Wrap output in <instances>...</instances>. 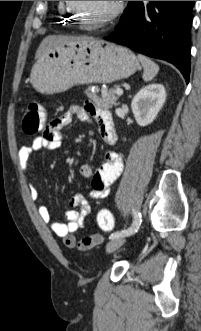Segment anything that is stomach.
<instances>
[{
  "instance_id": "stomach-1",
  "label": "stomach",
  "mask_w": 201,
  "mask_h": 331,
  "mask_svg": "<svg viewBox=\"0 0 201 331\" xmlns=\"http://www.w3.org/2000/svg\"><path fill=\"white\" fill-rule=\"evenodd\" d=\"M139 59L128 48L87 38L57 44L44 52L31 70L33 87L55 94L76 84L112 83L134 74Z\"/></svg>"
}]
</instances>
